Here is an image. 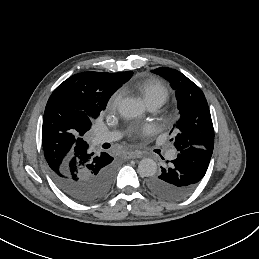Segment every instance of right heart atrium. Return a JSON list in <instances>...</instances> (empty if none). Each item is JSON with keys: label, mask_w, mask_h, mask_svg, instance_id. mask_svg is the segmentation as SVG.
Here are the masks:
<instances>
[{"label": "right heart atrium", "mask_w": 259, "mask_h": 259, "mask_svg": "<svg viewBox=\"0 0 259 259\" xmlns=\"http://www.w3.org/2000/svg\"><path fill=\"white\" fill-rule=\"evenodd\" d=\"M121 101V93L119 91H116L111 99H110V103L112 104L113 107H117L119 105Z\"/></svg>", "instance_id": "1"}]
</instances>
